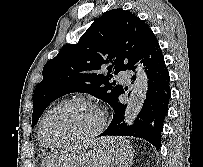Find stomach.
<instances>
[{
    "instance_id": "stomach-1",
    "label": "stomach",
    "mask_w": 203,
    "mask_h": 167,
    "mask_svg": "<svg viewBox=\"0 0 203 167\" xmlns=\"http://www.w3.org/2000/svg\"><path fill=\"white\" fill-rule=\"evenodd\" d=\"M119 149L115 148L113 142L102 143L99 141L75 167H114L116 154L120 155L123 160V154L118 151Z\"/></svg>"
}]
</instances>
